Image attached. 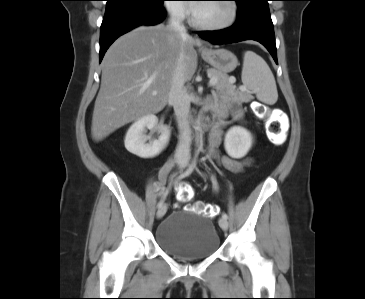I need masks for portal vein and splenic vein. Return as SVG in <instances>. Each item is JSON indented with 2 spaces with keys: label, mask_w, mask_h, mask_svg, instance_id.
<instances>
[{
  "label": "portal vein and splenic vein",
  "mask_w": 365,
  "mask_h": 299,
  "mask_svg": "<svg viewBox=\"0 0 365 299\" xmlns=\"http://www.w3.org/2000/svg\"><path fill=\"white\" fill-rule=\"evenodd\" d=\"M216 83H217V78H215V77H211L210 78V81H209V85L210 86H214V85H216ZM243 89V88H242ZM153 95H156L157 94V92H153L152 93Z\"/></svg>",
  "instance_id": "1"
}]
</instances>
